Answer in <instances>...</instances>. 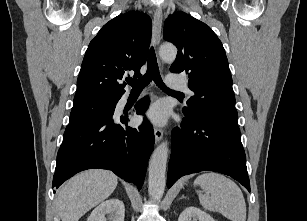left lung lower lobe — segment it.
Returning a JSON list of instances; mask_svg holds the SVG:
<instances>
[{"label": "left lung lower lobe", "instance_id": "obj_1", "mask_svg": "<svg viewBox=\"0 0 307 221\" xmlns=\"http://www.w3.org/2000/svg\"><path fill=\"white\" fill-rule=\"evenodd\" d=\"M205 170L229 175L251 191L240 130L206 114H185L181 128L172 131L167 187Z\"/></svg>", "mask_w": 307, "mask_h": 221}]
</instances>
